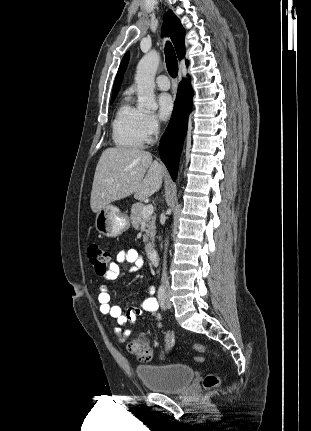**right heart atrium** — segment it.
<instances>
[{
    "label": "right heart atrium",
    "instance_id": "1",
    "mask_svg": "<svg viewBox=\"0 0 311 431\" xmlns=\"http://www.w3.org/2000/svg\"><path fill=\"white\" fill-rule=\"evenodd\" d=\"M145 126L147 132V141L154 140L161 132V122L158 116L152 112L144 114Z\"/></svg>",
    "mask_w": 311,
    "mask_h": 431
}]
</instances>
